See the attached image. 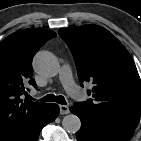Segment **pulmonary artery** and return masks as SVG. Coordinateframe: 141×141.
Segmentation results:
<instances>
[{
  "mask_svg": "<svg viewBox=\"0 0 141 141\" xmlns=\"http://www.w3.org/2000/svg\"><path fill=\"white\" fill-rule=\"evenodd\" d=\"M60 81L67 93L76 99L82 98V92L75 84L69 65L64 64L60 69Z\"/></svg>",
  "mask_w": 141,
  "mask_h": 141,
  "instance_id": "e3ab8cb5",
  "label": "pulmonary artery"
}]
</instances>
